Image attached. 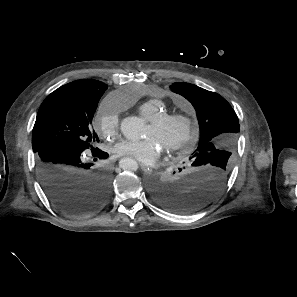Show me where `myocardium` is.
Returning a JSON list of instances; mask_svg holds the SVG:
<instances>
[{"label": "myocardium", "mask_w": 297, "mask_h": 297, "mask_svg": "<svg viewBox=\"0 0 297 297\" xmlns=\"http://www.w3.org/2000/svg\"><path fill=\"white\" fill-rule=\"evenodd\" d=\"M151 126L155 130L165 129L171 124H183V135L175 142L169 143L165 150L169 153L179 152L186 149L194 140L195 129L191 118L179 113H165L157 116L150 121Z\"/></svg>", "instance_id": "myocardium-1"}]
</instances>
